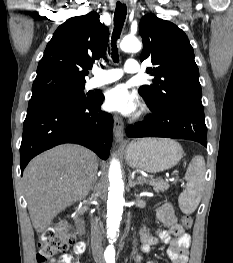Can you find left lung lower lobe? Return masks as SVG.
Listing matches in <instances>:
<instances>
[{"mask_svg":"<svg viewBox=\"0 0 233 263\" xmlns=\"http://www.w3.org/2000/svg\"><path fill=\"white\" fill-rule=\"evenodd\" d=\"M129 138L165 137L188 139L207 146V127L202 104L180 102L126 129Z\"/></svg>","mask_w":233,"mask_h":263,"instance_id":"1","label":"left lung lower lobe"}]
</instances>
